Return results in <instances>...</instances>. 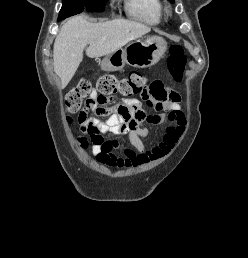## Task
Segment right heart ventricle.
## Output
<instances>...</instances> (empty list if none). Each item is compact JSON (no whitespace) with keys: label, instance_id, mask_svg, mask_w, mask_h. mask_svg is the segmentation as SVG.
<instances>
[{"label":"right heart ventricle","instance_id":"right-heart-ventricle-1","mask_svg":"<svg viewBox=\"0 0 248 258\" xmlns=\"http://www.w3.org/2000/svg\"><path fill=\"white\" fill-rule=\"evenodd\" d=\"M125 10L132 19L156 25L162 21L164 7L161 0H124Z\"/></svg>","mask_w":248,"mask_h":258}]
</instances>
